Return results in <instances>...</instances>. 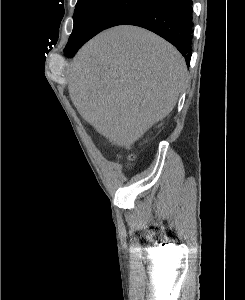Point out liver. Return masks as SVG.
<instances>
[{
  "instance_id": "6515ba94",
  "label": "liver",
  "mask_w": 245,
  "mask_h": 300,
  "mask_svg": "<svg viewBox=\"0 0 245 300\" xmlns=\"http://www.w3.org/2000/svg\"><path fill=\"white\" fill-rule=\"evenodd\" d=\"M181 54L158 35L120 25L74 57L68 89L82 118L118 146L134 144L175 107L186 87Z\"/></svg>"
}]
</instances>
